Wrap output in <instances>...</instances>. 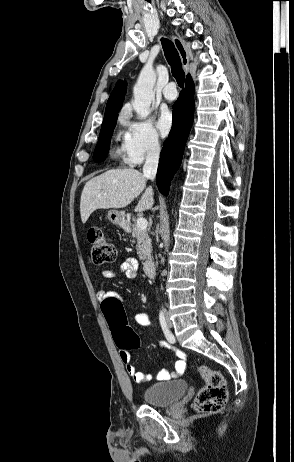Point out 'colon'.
Instances as JSON below:
<instances>
[{"mask_svg": "<svg viewBox=\"0 0 294 462\" xmlns=\"http://www.w3.org/2000/svg\"><path fill=\"white\" fill-rule=\"evenodd\" d=\"M91 246L92 262L96 265L112 263L116 259V250L111 241L98 228H90L87 234ZM102 312L112 331L115 344L120 350H133L140 346V339L128 325L120 300L113 294L105 297L101 304ZM205 385L198 391L195 408L203 413H217L227 402L228 392L224 377L218 371L206 366L197 368Z\"/></svg>", "mask_w": 294, "mask_h": 462, "instance_id": "colon-1", "label": "colon"}]
</instances>
